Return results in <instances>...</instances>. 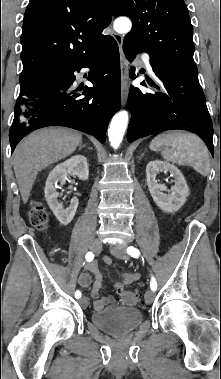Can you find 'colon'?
Returning <instances> with one entry per match:
<instances>
[{
    "mask_svg": "<svg viewBox=\"0 0 221 379\" xmlns=\"http://www.w3.org/2000/svg\"><path fill=\"white\" fill-rule=\"evenodd\" d=\"M29 220L33 227L44 230L48 226V215L42 203L36 202L32 205L29 213ZM121 302L125 305H136L141 302L140 296L134 292H122Z\"/></svg>",
    "mask_w": 221,
    "mask_h": 379,
    "instance_id": "1",
    "label": "colon"
}]
</instances>
